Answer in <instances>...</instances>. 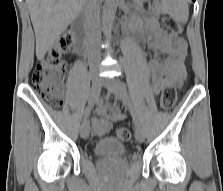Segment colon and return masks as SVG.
I'll return each mask as SVG.
<instances>
[{
    "label": "colon",
    "mask_w": 223,
    "mask_h": 191,
    "mask_svg": "<svg viewBox=\"0 0 223 191\" xmlns=\"http://www.w3.org/2000/svg\"><path fill=\"white\" fill-rule=\"evenodd\" d=\"M165 27L173 34L180 35L182 26L173 18L164 19ZM73 44V37L65 34L59 38L45 59L39 62L32 73V85L35 91L54 107L63 104L62 80L65 75L66 65L61 55L69 51ZM177 93L173 85L163 88L160 106L165 111H170L176 104ZM117 137L121 141H129L131 131L127 128L117 130Z\"/></svg>",
    "instance_id": "obj_1"
}]
</instances>
